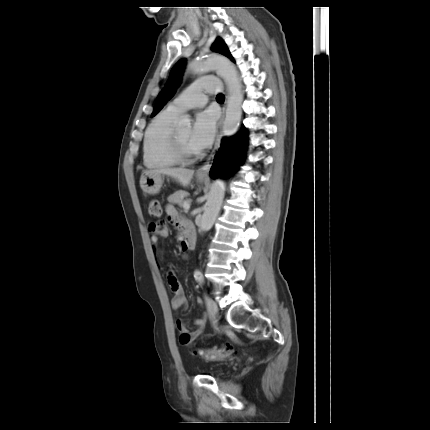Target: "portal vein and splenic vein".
<instances>
[{
    "instance_id": "portal-vein-and-splenic-vein-1",
    "label": "portal vein and splenic vein",
    "mask_w": 430,
    "mask_h": 430,
    "mask_svg": "<svg viewBox=\"0 0 430 430\" xmlns=\"http://www.w3.org/2000/svg\"><path fill=\"white\" fill-rule=\"evenodd\" d=\"M190 205H191V200L184 201L183 208L185 212H187L190 209Z\"/></svg>"
}]
</instances>
